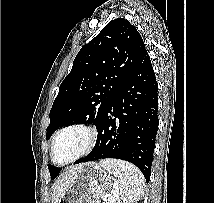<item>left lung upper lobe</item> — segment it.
Instances as JSON below:
<instances>
[{"mask_svg": "<svg viewBox=\"0 0 214 203\" xmlns=\"http://www.w3.org/2000/svg\"><path fill=\"white\" fill-rule=\"evenodd\" d=\"M145 50L142 37L129 21L122 18L110 21L74 59L50 110L46 139L67 124L86 122L97 128L115 93ZM48 168L51 179L61 170L51 165Z\"/></svg>", "mask_w": 214, "mask_h": 203, "instance_id": "left-lung-upper-lobe-1", "label": "left lung upper lobe"}]
</instances>
